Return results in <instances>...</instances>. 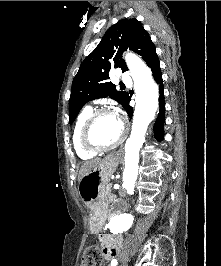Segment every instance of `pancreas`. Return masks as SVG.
<instances>
[{"label":"pancreas","instance_id":"cf45deb5","mask_svg":"<svg viewBox=\"0 0 221 266\" xmlns=\"http://www.w3.org/2000/svg\"><path fill=\"white\" fill-rule=\"evenodd\" d=\"M112 184L108 183L105 188L106 197L110 202H112L115 199V195L111 192Z\"/></svg>","mask_w":221,"mask_h":266}]
</instances>
